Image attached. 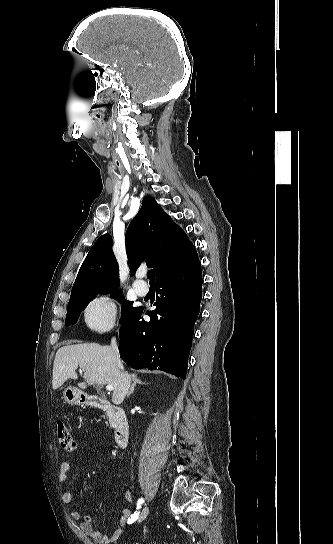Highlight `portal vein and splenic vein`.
Instances as JSON below:
<instances>
[{"label": "portal vein and splenic vein", "mask_w": 333, "mask_h": 544, "mask_svg": "<svg viewBox=\"0 0 333 544\" xmlns=\"http://www.w3.org/2000/svg\"><path fill=\"white\" fill-rule=\"evenodd\" d=\"M82 371H83V370L80 369V372H82ZM106 390H108V391H113V386H112V385H107V386H106Z\"/></svg>", "instance_id": "1"}]
</instances>
